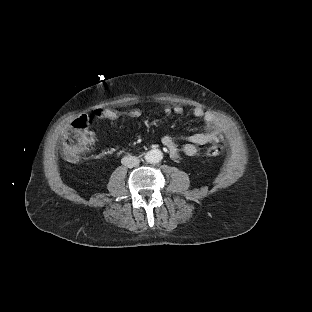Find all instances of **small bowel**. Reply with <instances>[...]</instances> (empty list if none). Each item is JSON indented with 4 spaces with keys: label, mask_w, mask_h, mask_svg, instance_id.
Instances as JSON below:
<instances>
[{
    "label": "small bowel",
    "mask_w": 312,
    "mask_h": 312,
    "mask_svg": "<svg viewBox=\"0 0 312 312\" xmlns=\"http://www.w3.org/2000/svg\"><path fill=\"white\" fill-rule=\"evenodd\" d=\"M183 112L184 108L179 104H176L174 106H164V113L166 115H169L171 113L181 115L183 114ZM123 114L129 118L137 120L142 118V112L138 109L124 111ZM192 115L195 118L203 120L206 131L189 135H181L179 139L185 142L182 149H179L176 144V136L172 134L163 135L161 137V143L163 144L164 148L171 158H178L181 154L193 156L197 152L198 146L217 143L220 140L222 133L221 122L213 113L205 111L200 106H195L192 108ZM156 135V131L152 130L150 133L151 138H155Z\"/></svg>",
    "instance_id": "obj_1"
}]
</instances>
